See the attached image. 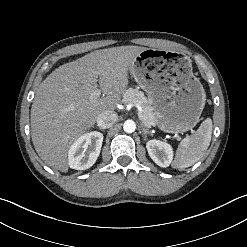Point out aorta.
Listing matches in <instances>:
<instances>
[{
  "mask_svg": "<svg viewBox=\"0 0 247 247\" xmlns=\"http://www.w3.org/2000/svg\"><path fill=\"white\" fill-rule=\"evenodd\" d=\"M123 129L126 133H133L136 129V124L132 120H127L123 124Z\"/></svg>",
  "mask_w": 247,
  "mask_h": 247,
  "instance_id": "762f6f07",
  "label": "aorta"
}]
</instances>
